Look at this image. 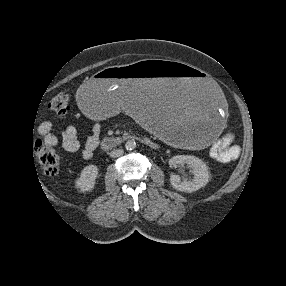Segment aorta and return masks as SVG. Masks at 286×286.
I'll use <instances>...</instances> for the list:
<instances>
[{"mask_svg": "<svg viewBox=\"0 0 286 286\" xmlns=\"http://www.w3.org/2000/svg\"><path fill=\"white\" fill-rule=\"evenodd\" d=\"M125 148L127 150H133L136 148V142L134 140H128L126 143H125Z\"/></svg>", "mask_w": 286, "mask_h": 286, "instance_id": "obj_1", "label": "aorta"}]
</instances>
